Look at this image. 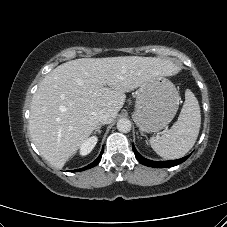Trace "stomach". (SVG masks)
<instances>
[{
	"instance_id": "1",
	"label": "stomach",
	"mask_w": 227,
	"mask_h": 227,
	"mask_svg": "<svg viewBox=\"0 0 227 227\" xmlns=\"http://www.w3.org/2000/svg\"><path fill=\"white\" fill-rule=\"evenodd\" d=\"M180 97L175 85L158 76L142 83L136 91L133 119L140 131L158 132L174 118Z\"/></svg>"
}]
</instances>
